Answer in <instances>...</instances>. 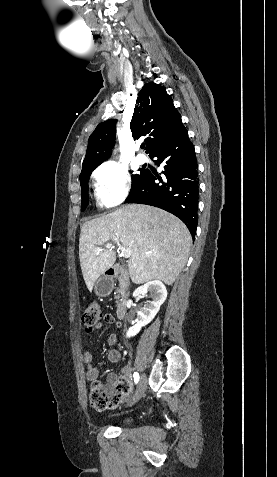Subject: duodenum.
<instances>
[{
    "instance_id": "1",
    "label": "duodenum",
    "mask_w": 277,
    "mask_h": 477,
    "mask_svg": "<svg viewBox=\"0 0 277 477\" xmlns=\"http://www.w3.org/2000/svg\"><path fill=\"white\" fill-rule=\"evenodd\" d=\"M106 275L110 281L118 279L122 287H125L128 283V274L121 267L115 266L108 269L106 272ZM127 312H128L127 299L124 296L117 306L116 315L119 319H124L127 316Z\"/></svg>"
}]
</instances>
